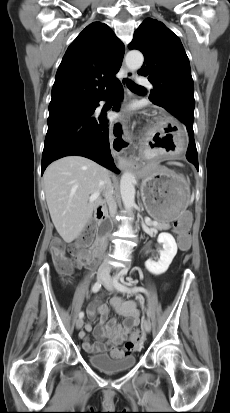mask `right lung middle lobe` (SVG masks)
<instances>
[{
	"label": "right lung middle lobe",
	"mask_w": 230,
	"mask_h": 413,
	"mask_svg": "<svg viewBox=\"0 0 230 413\" xmlns=\"http://www.w3.org/2000/svg\"><path fill=\"white\" fill-rule=\"evenodd\" d=\"M89 108V103L83 104H62L58 106L49 107V116L67 113L71 111H77L81 109Z\"/></svg>",
	"instance_id": "dd1d6c3e"
}]
</instances>
